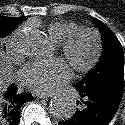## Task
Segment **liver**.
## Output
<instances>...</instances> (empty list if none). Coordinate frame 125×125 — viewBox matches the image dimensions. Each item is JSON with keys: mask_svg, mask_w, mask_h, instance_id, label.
Returning a JSON list of instances; mask_svg holds the SVG:
<instances>
[{"mask_svg": "<svg viewBox=\"0 0 125 125\" xmlns=\"http://www.w3.org/2000/svg\"><path fill=\"white\" fill-rule=\"evenodd\" d=\"M8 73V69L4 63L3 53L0 51V91L6 90L8 85L7 81H5V76Z\"/></svg>", "mask_w": 125, "mask_h": 125, "instance_id": "1", "label": "liver"}]
</instances>
